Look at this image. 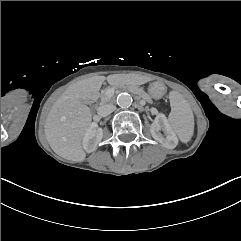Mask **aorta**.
<instances>
[{"mask_svg":"<svg viewBox=\"0 0 241 241\" xmlns=\"http://www.w3.org/2000/svg\"><path fill=\"white\" fill-rule=\"evenodd\" d=\"M132 97L130 94L128 93H121L118 95L117 97V104L121 107V108H128L131 106L132 104Z\"/></svg>","mask_w":241,"mask_h":241,"instance_id":"aorta-1","label":"aorta"}]
</instances>
